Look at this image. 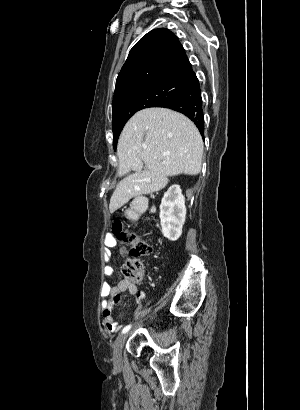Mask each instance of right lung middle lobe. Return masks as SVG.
Instances as JSON below:
<instances>
[{"label":"right lung middle lobe","instance_id":"dd1d6c3e","mask_svg":"<svg viewBox=\"0 0 300 410\" xmlns=\"http://www.w3.org/2000/svg\"><path fill=\"white\" fill-rule=\"evenodd\" d=\"M184 82H161L124 90L113 100V147L128 119L137 111L148 107H160L175 98L185 87Z\"/></svg>","mask_w":300,"mask_h":410}]
</instances>
